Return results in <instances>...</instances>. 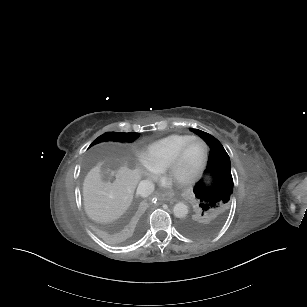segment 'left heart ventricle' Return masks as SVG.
Listing matches in <instances>:
<instances>
[{
  "instance_id": "b2bd125f",
  "label": "left heart ventricle",
  "mask_w": 307,
  "mask_h": 307,
  "mask_svg": "<svg viewBox=\"0 0 307 307\" xmlns=\"http://www.w3.org/2000/svg\"><path fill=\"white\" fill-rule=\"evenodd\" d=\"M205 152L204 144L200 141L191 142L185 152L182 162L174 168L169 178L174 183L183 181L201 163Z\"/></svg>"
}]
</instances>
